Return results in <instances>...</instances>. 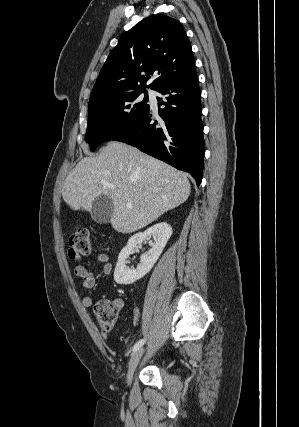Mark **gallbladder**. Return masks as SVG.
<instances>
[{
    "label": "gallbladder",
    "instance_id": "obj_1",
    "mask_svg": "<svg viewBox=\"0 0 299 427\" xmlns=\"http://www.w3.org/2000/svg\"><path fill=\"white\" fill-rule=\"evenodd\" d=\"M91 218L96 223H108L113 215V202L107 195H100L93 201Z\"/></svg>",
    "mask_w": 299,
    "mask_h": 427
}]
</instances>
